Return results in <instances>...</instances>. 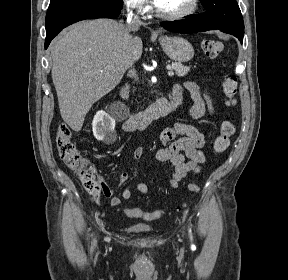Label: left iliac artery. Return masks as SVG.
I'll use <instances>...</instances> for the list:
<instances>
[{"label": "left iliac artery", "mask_w": 288, "mask_h": 280, "mask_svg": "<svg viewBox=\"0 0 288 280\" xmlns=\"http://www.w3.org/2000/svg\"><path fill=\"white\" fill-rule=\"evenodd\" d=\"M189 231H190V235H191V239H192L191 230H189ZM191 248H192V250H195V249H196L195 245H192Z\"/></svg>", "instance_id": "obj_1"}]
</instances>
